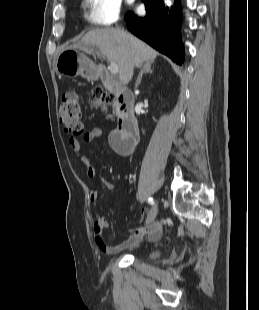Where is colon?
Wrapping results in <instances>:
<instances>
[{
	"label": "colon",
	"instance_id": "colon-1",
	"mask_svg": "<svg viewBox=\"0 0 259 310\" xmlns=\"http://www.w3.org/2000/svg\"><path fill=\"white\" fill-rule=\"evenodd\" d=\"M91 98L96 106H103L109 103L112 97L101 88H96L91 92ZM59 120L69 133L78 135L82 132L81 107L75 92H66L63 95L59 107Z\"/></svg>",
	"mask_w": 259,
	"mask_h": 310
}]
</instances>
